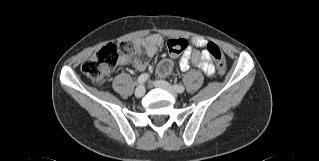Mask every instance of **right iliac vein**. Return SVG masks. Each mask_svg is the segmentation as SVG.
I'll return each mask as SVG.
<instances>
[{"label":"right iliac vein","instance_id":"right-iliac-vein-1","mask_svg":"<svg viewBox=\"0 0 319 161\" xmlns=\"http://www.w3.org/2000/svg\"><path fill=\"white\" fill-rule=\"evenodd\" d=\"M145 91H146L145 87L143 85H140L135 90V96L137 98H141L145 94Z\"/></svg>","mask_w":319,"mask_h":161}]
</instances>
